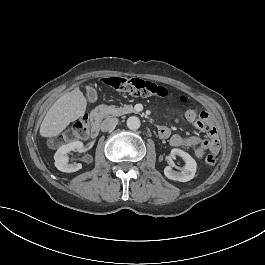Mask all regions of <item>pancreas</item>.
<instances>
[{
	"mask_svg": "<svg viewBox=\"0 0 265 265\" xmlns=\"http://www.w3.org/2000/svg\"><path fill=\"white\" fill-rule=\"evenodd\" d=\"M135 112L132 105H124L123 107H116L114 105L107 106L105 116H121L128 113Z\"/></svg>",
	"mask_w": 265,
	"mask_h": 265,
	"instance_id": "obj_1",
	"label": "pancreas"
}]
</instances>
